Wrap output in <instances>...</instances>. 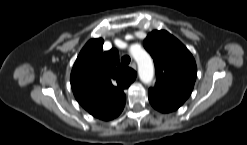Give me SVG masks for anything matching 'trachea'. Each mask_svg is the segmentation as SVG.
<instances>
[{
  "label": "trachea",
  "instance_id": "trachea-1",
  "mask_svg": "<svg viewBox=\"0 0 247 145\" xmlns=\"http://www.w3.org/2000/svg\"><path fill=\"white\" fill-rule=\"evenodd\" d=\"M130 61H131V59H130V57L129 56H123L122 58H121V63L123 64V65H128L129 63H130Z\"/></svg>",
  "mask_w": 247,
  "mask_h": 145
}]
</instances>
